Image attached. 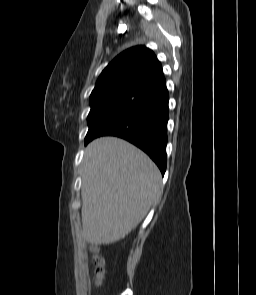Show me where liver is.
<instances>
[{
    "mask_svg": "<svg viewBox=\"0 0 256 295\" xmlns=\"http://www.w3.org/2000/svg\"><path fill=\"white\" fill-rule=\"evenodd\" d=\"M82 237L108 245L128 235L161 195V173L140 149L116 137L92 141L81 165Z\"/></svg>",
    "mask_w": 256,
    "mask_h": 295,
    "instance_id": "liver-1",
    "label": "liver"
}]
</instances>
